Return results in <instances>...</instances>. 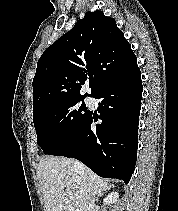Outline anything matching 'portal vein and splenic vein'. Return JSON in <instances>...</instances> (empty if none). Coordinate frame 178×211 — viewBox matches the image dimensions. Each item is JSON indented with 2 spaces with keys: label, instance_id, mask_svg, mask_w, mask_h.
Segmentation results:
<instances>
[{
  "label": "portal vein and splenic vein",
  "instance_id": "obj_1",
  "mask_svg": "<svg viewBox=\"0 0 178 211\" xmlns=\"http://www.w3.org/2000/svg\"><path fill=\"white\" fill-rule=\"evenodd\" d=\"M70 199L73 200L74 198L73 197H70Z\"/></svg>",
  "mask_w": 178,
  "mask_h": 211
}]
</instances>
